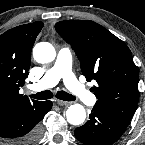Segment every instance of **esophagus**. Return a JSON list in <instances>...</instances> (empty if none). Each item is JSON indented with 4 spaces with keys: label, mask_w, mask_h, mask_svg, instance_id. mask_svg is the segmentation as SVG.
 I'll return each instance as SVG.
<instances>
[{
    "label": "esophagus",
    "mask_w": 145,
    "mask_h": 145,
    "mask_svg": "<svg viewBox=\"0 0 145 145\" xmlns=\"http://www.w3.org/2000/svg\"><path fill=\"white\" fill-rule=\"evenodd\" d=\"M57 104L60 106H66L69 104V102L64 100H57Z\"/></svg>",
    "instance_id": "esophagus-1"
}]
</instances>
